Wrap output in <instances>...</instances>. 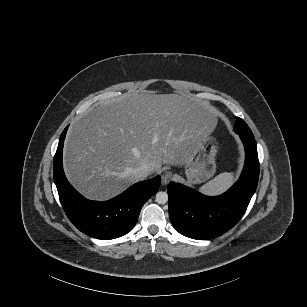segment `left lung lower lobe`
Segmentation results:
<instances>
[{
  "label": "left lung lower lobe",
  "mask_w": 307,
  "mask_h": 307,
  "mask_svg": "<svg viewBox=\"0 0 307 307\" xmlns=\"http://www.w3.org/2000/svg\"><path fill=\"white\" fill-rule=\"evenodd\" d=\"M245 147L242 174L226 193L207 197L184 185L168 186L169 217L181 234L198 240L218 237L242 217L253 196L259 177V160L253 134L237 133Z\"/></svg>",
  "instance_id": "0a47b994"
}]
</instances>
